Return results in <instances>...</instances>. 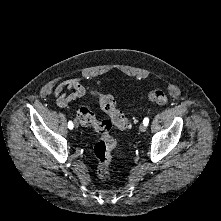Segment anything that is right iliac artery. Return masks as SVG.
I'll list each match as a JSON object with an SVG mask.
<instances>
[{"label":"right iliac artery","mask_w":221,"mask_h":221,"mask_svg":"<svg viewBox=\"0 0 221 221\" xmlns=\"http://www.w3.org/2000/svg\"><path fill=\"white\" fill-rule=\"evenodd\" d=\"M68 128L73 129V123L71 121L68 122Z\"/></svg>","instance_id":"1"}]
</instances>
